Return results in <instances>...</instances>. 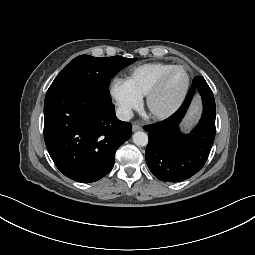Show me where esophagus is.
<instances>
[{
	"label": "esophagus",
	"instance_id": "obj_1",
	"mask_svg": "<svg viewBox=\"0 0 255 255\" xmlns=\"http://www.w3.org/2000/svg\"><path fill=\"white\" fill-rule=\"evenodd\" d=\"M142 129V127L140 126V125H138V124H133V126H132V130L135 132V131H138V130H141Z\"/></svg>",
	"mask_w": 255,
	"mask_h": 255
}]
</instances>
